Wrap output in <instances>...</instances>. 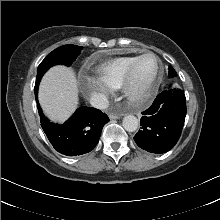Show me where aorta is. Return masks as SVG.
<instances>
[{"instance_id":"aorta-1","label":"aorta","mask_w":220,"mask_h":220,"mask_svg":"<svg viewBox=\"0 0 220 220\" xmlns=\"http://www.w3.org/2000/svg\"><path fill=\"white\" fill-rule=\"evenodd\" d=\"M139 125L138 119L133 115H127L123 118V127L128 132H134Z\"/></svg>"}]
</instances>
